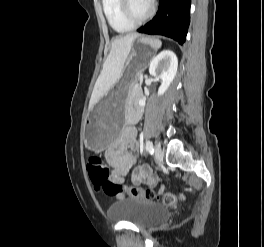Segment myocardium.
Returning <instances> with one entry per match:
<instances>
[{
	"label": "myocardium",
	"mask_w": 264,
	"mask_h": 247,
	"mask_svg": "<svg viewBox=\"0 0 264 247\" xmlns=\"http://www.w3.org/2000/svg\"><path fill=\"white\" fill-rule=\"evenodd\" d=\"M120 10L123 17L132 25H138L147 21L155 11L154 4L150 2V7L147 13L141 17H137L131 10L130 0H120Z\"/></svg>",
	"instance_id": "obj_1"
}]
</instances>
